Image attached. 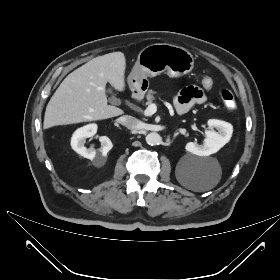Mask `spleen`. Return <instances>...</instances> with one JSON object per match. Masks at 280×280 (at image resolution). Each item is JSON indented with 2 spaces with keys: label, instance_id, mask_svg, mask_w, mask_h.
I'll return each mask as SVG.
<instances>
[{
  "label": "spleen",
  "instance_id": "spleen-1",
  "mask_svg": "<svg viewBox=\"0 0 280 280\" xmlns=\"http://www.w3.org/2000/svg\"><path fill=\"white\" fill-rule=\"evenodd\" d=\"M217 183H218V181H215V182L212 183V184H209V185L204 186V190L212 189Z\"/></svg>",
  "mask_w": 280,
  "mask_h": 280
}]
</instances>
